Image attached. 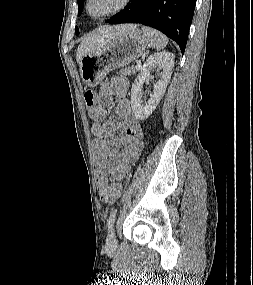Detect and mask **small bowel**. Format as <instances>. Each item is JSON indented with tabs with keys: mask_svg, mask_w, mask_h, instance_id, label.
Returning a JSON list of instances; mask_svg holds the SVG:
<instances>
[{
	"mask_svg": "<svg viewBox=\"0 0 253 285\" xmlns=\"http://www.w3.org/2000/svg\"><path fill=\"white\" fill-rule=\"evenodd\" d=\"M129 84L121 76H113L100 89L90 108L94 119L91 132L97 152V190L100 199L113 203L119 196L111 182L124 178L142 150L143 131L127 97ZM115 99L117 104L115 105ZM113 108L121 123L107 119V109ZM117 131L122 132L117 136Z\"/></svg>",
	"mask_w": 253,
	"mask_h": 285,
	"instance_id": "small-bowel-1",
	"label": "small bowel"
}]
</instances>
